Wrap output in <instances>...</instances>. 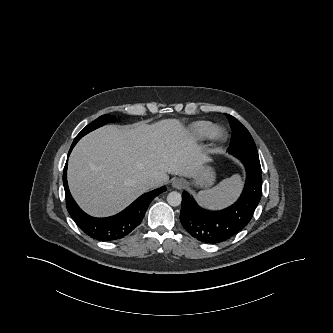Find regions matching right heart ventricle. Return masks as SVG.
<instances>
[{
    "label": "right heart ventricle",
    "instance_id": "1",
    "mask_svg": "<svg viewBox=\"0 0 333 333\" xmlns=\"http://www.w3.org/2000/svg\"><path fill=\"white\" fill-rule=\"evenodd\" d=\"M213 125L209 121H196L190 126V133L197 140H204L212 133Z\"/></svg>",
    "mask_w": 333,
    "mask_h": 333
}]
</instances>
